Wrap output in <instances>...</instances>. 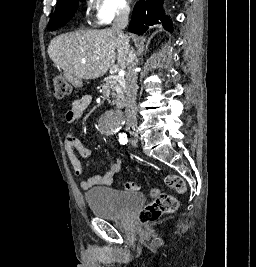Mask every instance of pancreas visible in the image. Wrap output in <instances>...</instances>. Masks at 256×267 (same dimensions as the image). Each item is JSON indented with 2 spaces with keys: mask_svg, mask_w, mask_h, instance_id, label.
<instances>
[{
  "mask_svg": "<svg viewBox=\"0 0 256 267\" xmlns=\"http://www.w3.org/2000/svg\"><path fill=\"white\" fill-rule=\"evenodd\" d=\"M105 82L103 86V92L105 94H111L114 98L113 102L116 106H123L124 104V92H125V80L124 78H117L116 82H111V80H103Z\"/></svg>",
  "mask_w": 256,
  "mask_h": 267,
  "instance_id": "pancreas-1",
  "label": "pancreas"
}]
</instances>
